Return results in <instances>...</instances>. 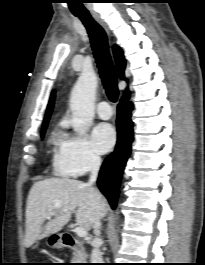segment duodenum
Instances as JSON below:
<instances>
[{"label": "duodenum", "mask_w": 205, "mask_h": 265, "mask_svg": "<svg viewBox=\"0 0 205 265\" xmlns=\"http://www.w3.org/2000/svg\"><path fill=\"white\" fill-rule=\"evenodd\" d=\"M60 240L63 246L73 251H79L81 249L80 242L69 233H63Z\"/></svg>", "instance_id": "duodenum-1"}]
</instances>
